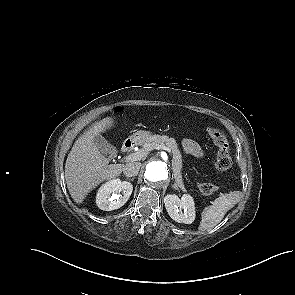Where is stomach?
Listing matches in <instances>:
<instances>
[{"instance_id": "1", "label": "stomach", "mask_w": 295, "mask_h": 295, "mask_svg": "<svg viewBox=\"0 0 295 295\" xmlns=\"http://www.w3.org/2000/svg\"><path fill=\"white\" fill-rule=\"evenodd\" d=\"M153 135L149 131H137L134 133L130 139L138 144L147 142Z\"/></svg>"}]
</instances>
